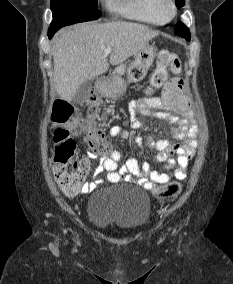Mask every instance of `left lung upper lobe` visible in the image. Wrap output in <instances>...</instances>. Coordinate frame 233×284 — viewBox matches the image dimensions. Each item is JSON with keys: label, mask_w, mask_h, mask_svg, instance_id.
<instances>
[{"label": "left lung upper lobe", "mask_w": 233, "mask_h": 284, "mask_svg": "<svg viewBox=\"0 0 233 284\" xmlns=\"http://www.w3.org/2000/svg\"><path fill=\"white\" fill-rule=\"evenodd\" d=\"M175 2L178 8H181L185 4L184 0H175ZM175 33L188 41L190 40V31L181 21L177 23Z\"/></svg>", "instance_id": "5c2ea615"}]
</instances>
